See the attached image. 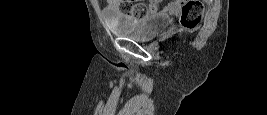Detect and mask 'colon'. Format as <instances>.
I'll return each instance as SVG.
<instances>
[{
    "mask_svg": "<svg viewBox=\"0 0 267 115\" xmlns=\"http://www.w3.org/2000/svg\"><path fill=\"white\" fill-rule=\"evenodd\" d=\"M120 10L126 15L140 18L146 14L156 13L158 7L143 3L133 4L132 1H120ZM202 14L203 5L200 2H186L180 13V22L185 27H194L199 23Z\"/></svg>",
    "mask_w": 267,
    "mask_h": 115,
    "instance_id": "colon-1",
    "label": "colon"
}]
</instances>
